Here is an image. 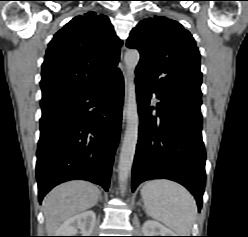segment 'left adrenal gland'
Listing matches in <instances>:
<instances>
[{
    "instance_id": "left-adrenal-gland-1",
    "label": "left adrenal gland",
    "mask_w": 248,
    "mask_h": 237,
    "mask_svg": "<svg viewBox=\"0 0 248 237\" xmlns=\"http://www.w3.org/2000/svg\"><path fill=\"white\" fill-rule=\"evenodd\" d=\"M138 205H140V206H142V204H141V200L137 203ZM144 208V207H143Z\"/></svg>"
}]
</instances>
